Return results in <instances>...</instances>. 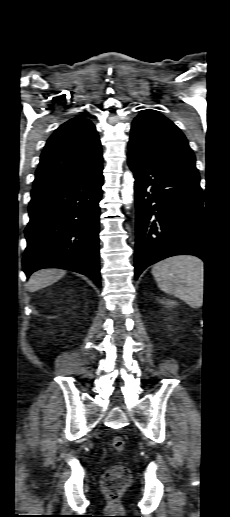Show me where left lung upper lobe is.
Returning a JSON list of instances; mask_svg holds the SVG:
<instances>
[{"label": "left lung upper lobe", "mask_w": 230, "mask_h": 517, "mask_svg": "<svg viewBox=\"0 0 230 517\" xmlns=\"http://www.w3.org/2000/svg\"><path fill=\"white\" fill-rule=\"evenodd\" d=\"M129 152L161 166L198 174L184 134L155 110H144L133 120Z\"/></svg>", "instance_id": "5c2ea615"}]
</instances>
